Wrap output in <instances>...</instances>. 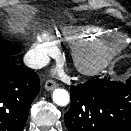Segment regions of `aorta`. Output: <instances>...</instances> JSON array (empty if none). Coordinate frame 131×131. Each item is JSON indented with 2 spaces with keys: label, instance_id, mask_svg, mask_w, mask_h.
<instances>
[{
  "label": "aorta",
  "instance_id": "obj_1",
  "mask_svg": "<svg viewBox=\"0 0 131 131\" xmlns=\"http://www.w3.org/2000/svg\"><path fill=\"white\" fill-rule=\"evenodd\" d=\"M53 101L59 106H66L70 101L69 93L65 89L57 88L53 91Z\"/></svg>",
  "mask_w": 131,
  "mask_h": 131
}]
</instances>
